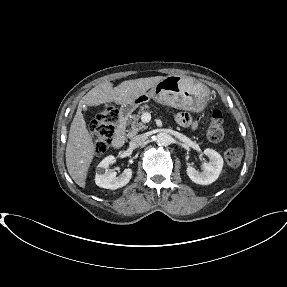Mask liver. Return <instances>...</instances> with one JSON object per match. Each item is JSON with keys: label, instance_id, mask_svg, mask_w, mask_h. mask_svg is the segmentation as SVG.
<instances>
[{"label": "liver", "instance_id": "obj_1", "mask_svg": "<svg viewBox=\"0 0 287 287\" xmlns=\"http://www.w3.org/2000/svg\"><path fill=\"white\" fill-rule=\"evenodd\" d=\"M163 78V76H155L127 80L117 87H113L111 82H104L95 86L82 97L70 126L65 153L67 170L77 185L85 188L88 169L96 150L95 143L86 128V122L81 113L82 108L86 105L99 106L110 102L120 105L132 102Z\"/></svg>", "mask_w": 287, "mask_h": 287}]
</instances>
